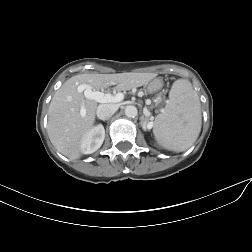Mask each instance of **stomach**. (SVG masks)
<instances>
[{
    "label": "stomach",
    "mask_w": 252,
    "mask_h": 252,
    "mask_svg": "<svg viewBox=\"0 0 252 252\" xmlns=\"http://www.w3.org/2000/svg\"><path fill=\"white\" fill-rule=\"evenodd\" d=\"M162 86H163L162 80L156 78V79L152 80V81L148 84V86H147V91H148V93H154V92L159 91V90L162 88Z\"/></svg>",
    "instance_id": "0dacf381"
}]
</instances>
